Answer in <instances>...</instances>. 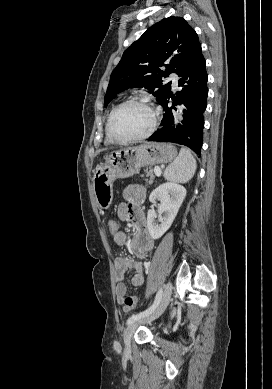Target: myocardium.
Here are the masks:
<instances>
[{
	"instance_id": "myocardium-1",
	"label": "myocardium",
	"mask_w": 272,
	"mask_h": 389,
	"mask_svg": "<svg viewBox=\"0 0 272 389\" xmlns=\"http://www.w3.org/2000/svg\"><path fill=\"white\" fill-rule=\"evenodd\" d=\"M130 104H138V105H141V106H144L145 108H147L152 115V121H151V124H150V127L148 128V130L145 131L143 134L135 136V137H130V138H122V137L117 136L113 130V126H112L113 119L120 109H122L123 107L130 105ZM158 121H159V113L151 103H149L145 99L132 97V98H129V99L121 102L111 111V113L108 117V121H107V129H108V133H109L110 137L115 142L133 143V142H138V141L144 140V139L148 138L150 135H152V133L156 130V127L158 125Z\"/></svg>"
}]
</instances>
